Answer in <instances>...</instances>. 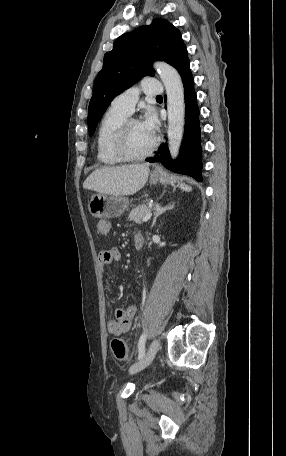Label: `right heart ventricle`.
Instances as JSON below:
<instances>
[{
	"instance_id": "e07e8e85",
	"label": "right heart ventricle",
	"mask_w": 286,
	"mask_h": 456,
	"mask_svg": "<svg viewBox=\"0 0 286 456\" xmlns=\"http://www.w3.org/2000/svg\"><path fill=\"white\" fill-rule=\"evenodd\" d=\"M127 117V114L112 107L105 113L96 136L97 159L101 164L113 166L122 162L114 151V138L120 124Z\"/></svg>"
}]
</instances>
